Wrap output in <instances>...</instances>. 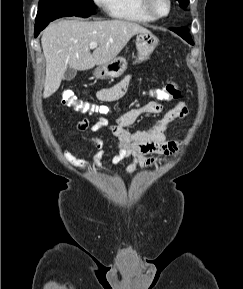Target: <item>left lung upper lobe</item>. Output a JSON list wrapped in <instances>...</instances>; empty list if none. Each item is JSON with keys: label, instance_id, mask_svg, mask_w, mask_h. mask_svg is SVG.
Masks as SVG:
<instances>
[{"label": "left lung upper lobe", "instance_id": "5c2ea615", "mask_svg": "<svg viewBox=\"0 0 243 289\" xmlns=\"http://www.w3.org/2000/svg\"><path fill=\"white\" fill-rule=\"evenodd\" d=\"M178 2L182 7H186L189 3V0H178Z\"/></svg>", "mask_w": 243, "mask_h": 289}]
</instances>
